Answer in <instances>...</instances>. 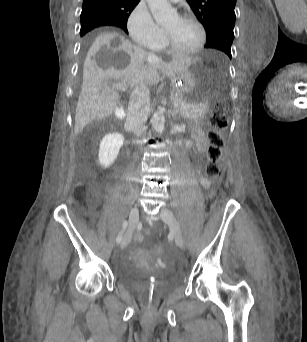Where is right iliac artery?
<instances>
[{
    "label": "right iliac artery",
    "instance_id": "obj_1",
    "mask_svg": "<svg viewBox=\"0 0 307 342\" xmlns=\"http://www.w3.org/2000/svg\"><path fill=\"white\" fill-rule=\"evenodd\" d=\"M127 226H128V222H127V221H124L123 224H122L121 231L119 232V234H118V236H117V238H116V242H117V243H120V242H121L122 237H123V233H124V231L126 230Z\"/></svg>",
    "mask_w": 307,
    "mask_h": 342
}]
</instances>
